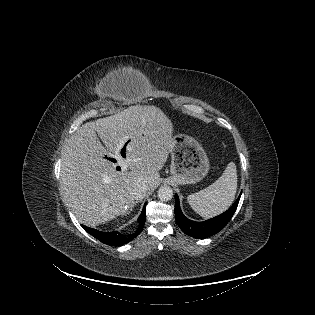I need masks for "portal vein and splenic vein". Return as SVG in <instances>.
Segmentation results:
<instances>
[{"mask_svg":"<svg viewBox=\"0 0 315 315\" xmlns=\"http://www.w3.org/2000/svg\"><path fill=\"white\" fill-rule=\"evenodd\" d=\"M122 168H123V170H126L127 169V165L126 164H122Z\"/></svg>","mask_w":315,"mask_h":315,"instance_id":"portal-vein-and-splenic-vein-1","label":"portal vein and splenic vein"}]
</instances>
